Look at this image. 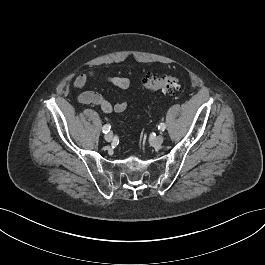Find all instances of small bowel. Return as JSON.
<instances>
[{
    "label": "small bowel",
    "mask_w": 265,
    "mask_h": 265,
    "mask_svg": "<svg viewBox=\"0 0 265 265\" xmlns=\"http://www.w3.org/2000/svg\"><path fill=\"white\" fill-rule=\"evenodd\" d=\"M91 79H102L122 90L130 87V80L126 77L113 76L100 71H89L80 74L73 83L75 89L82 90ZM77 100L81 104L94 105L99 107L105 113L123 112L128 107V102L119 98L114 104L103 98L100 94L92 91L80 93Z\"/></svg>",
    "instance_id": "obj_1"
}]
</instances>
